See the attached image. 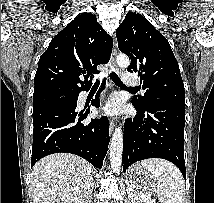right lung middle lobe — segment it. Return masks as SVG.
Segmentation results:
<instances>
[{"mask_svg": "<svg viewBox=\"0 0 214 203\" xmlns=\"http://www.w3.org/2000/svg\"><path fill=\"white\" fill-rule=\"evenodd\" d=\"M72 95L73 94H58V95H52V96H47V97L35 98V99H33V109L43 106L54 100L68 98V97L71 98Z\"/></svg>", "mask_w": 214, "mask_h": 203, "instance_id": "dd1d6c3e", "label": "right lung middle lobe"}]
</instances>
